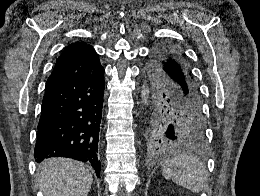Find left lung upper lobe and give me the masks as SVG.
Masks as SVG:
<instances>
[{
  "instance_id": "1",
  "label": "left lung upper lobe",
  "mask_w": 260,
  "mask_h": 196,
  "mask_svg": "<svg viewBox=\"0 0 260 196\" xmlns=\"http://www.w3.org/2000/svg\"><path fill=\"white\" fill-rule=\"evenodd\" d=\"M146 74L145 148L153 152L202 144L206 124L186 55L174 45L158 46L149 58Z\"/></svg>"
}]
</instances>
